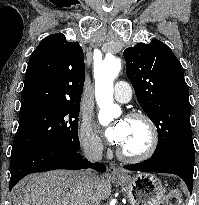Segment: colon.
I'll return each instance as SVG.
<instances>
[{"instance_id": "obj_1", "label": "colon", "mask_w": 199, "mask_h": 205, "mask_svg": "<svg viewBox=\"0 0 199 205\" xmlns=\"http://www.w3.org/2000/svg\"><path fill=\"white\" fill-rule=\"evenodd\" d=\"M181 194L178 188H172L166 195L162 205H180Z\"/></svg>"}]
</instances>
